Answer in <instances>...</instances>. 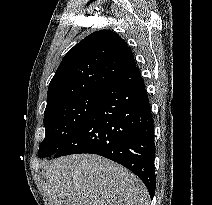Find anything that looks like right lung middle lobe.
I'll return each mask as SVG.
<instances>
[{
    "label": "right lung middle lobe",
    "instance_id": "dd1d6c3e",
    "mask_svg": "<svg viewBox=\"0 0 212 205\" xmlns=\"http://www.w3.org/2000/svg\"><path fill=\"white\" fill-rule=\"evenodd\" d=\"M102 92L89 93L64 101L45 112V138L38 157L54 155L80 128L101 100Z\"/></svg>",
    "mask_w": 212,
    "mask_h": 205
}]
</instances>
